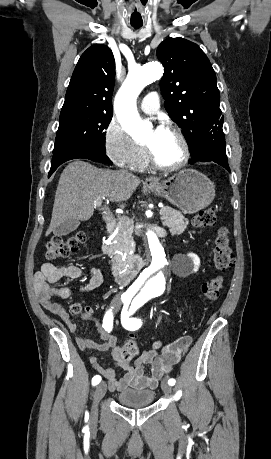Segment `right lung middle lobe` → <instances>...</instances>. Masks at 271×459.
I'll return each instance as SVG.
<instances>
[{
	"instance_id": "right-lung-middle-lobe-1",
	"label": "right lung middle lobe",
	"mask_w": 271,
	"mask_h": 459,
	"mask_svg": "<svg viewBox=\"0 0 271 459\" xmlns=\"http://www.w3.org/2000/svg\"><path fill=\"white\" fill-rule=\"evenodd\" d=\"M113 114L61 113L53 154L75 146L105 150V129Z\"/></svg>"
}]
</instances>
